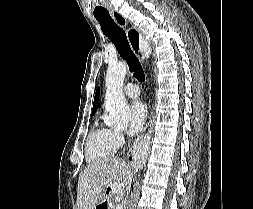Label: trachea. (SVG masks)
<instances>
[{"mask_svg": "<svg viewBox=\"0 0 253 209\" xmlns=\"http://www.w3.org/2000/svg\"><path fill=\"white\" fill-rule=\"evenodd\" d=\"M96 20L99 22L103 33L115 45L120 56L128 63L130 72H133L138 81L143 82L145 74L142 65L132 51L125 31L114 22L110 15L98 16Z\"/></svg>", "mask_w": 253, "mask_h": 209, "instance_id": "1", "label": "trachea"}]
</instances>
